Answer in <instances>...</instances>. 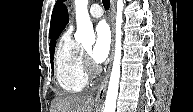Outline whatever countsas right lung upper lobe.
Instances as JSON below:
<instances>
[{
	"label": "right lung upper lobe",
	"instance_id": "right-lung-upper-lobe-1",
	"mask_svg": "<svg viewBox=\"0 0 193 112\" xmlns=\"http://www.w3.org/2000/svg\"><path fill=\"white\" fill-rule=\"evenodd\" d=\"M69 22V16H68V11L65 5L60 10V13L58 15L54 33L51 34V41H50V49L54 48L56 45V40Z\"/></svg>",
	"mask_w": 193,
	"mask_h": 112
}]
</instances>
